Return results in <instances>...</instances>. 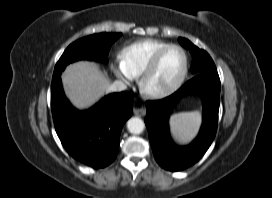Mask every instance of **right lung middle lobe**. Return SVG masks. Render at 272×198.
Masks as SVG:
<instances>
[{
    "mask_svg": "<svg viewBox=\"0 0 272 198\" xmlns=\"http://www.w3.org/2000/svg\"><path fill=\"white\" fill-rule=\"evenodd\" d=\"M121 33L94 34L72 43L57 62L53 76L60 75L66 65L80 59L107 62L111 45Z\"/></svg>",
    "mask_w": 272,
    "mask_h": 198,
    "instance_id": "obj_1",
    "label": "right lung middle lobe"
}]
</instances>
